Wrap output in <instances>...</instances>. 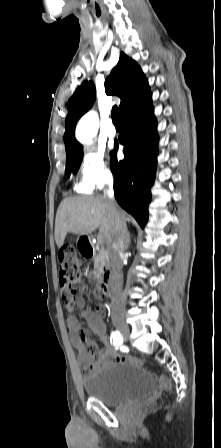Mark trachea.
<instances>
[{"mask_svg": "<svg viewBox=\"0 0 221 448\" xmlns=\"http://www.w3.org/2000/svg\"><path fill=\"white\" fill-rule=\"evenodd\" d=\"M111 117H112V121L114 123L115 126H120V121H119V110L117 105H114L112 107V111H111Z\"/></svg>", "mask_w": 221, "mask_h": 448, "instance_id": "1", "label": "trachea"}]
</instances>
